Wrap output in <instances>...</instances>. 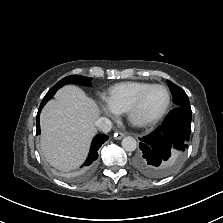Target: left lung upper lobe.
Segmentation results:
<instances>
[{
    "label": "left lung upper lobe",
    "mask_w": 223,
    "mask_h": 223,
    "mask_svg": "<svg viewBox=\"0 0 223 223\" xmlns=\"http://www.w3.org/2000/svg\"><path fill=\"white\" fill-rule=\"evenodd\" d=\"M167 83L173 95V102L175 103L176 107L191 109L187 94L173 82L167 80Z\"/></svg>",
    "instance_id": "1"
}]
</instances>
